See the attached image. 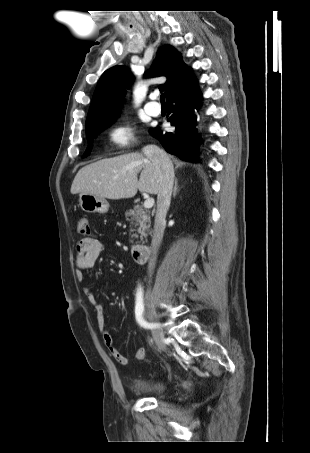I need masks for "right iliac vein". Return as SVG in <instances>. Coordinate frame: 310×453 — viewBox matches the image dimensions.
<instances>
[{
	"label": "right iliac vein",
	"mask_w": 310,
	"mask_h": 453,
	"mask_svg": "<svg viewBox=\"0 0 310 453\" xmlns=\"http://www.w3.org/2000/svg\"><path fill=\"white\" fill-rule=\"evenodd\" d=\"M146 315H147V318L152 323L158 322V317H157V313H156V310L154 307L151 290H148L146 293ZM152 336H153V339L156 342L158 348L163 349L165 344H164V335L162 333V330L159 328H155L152 331Z\"/></svg>",
	"instance_id": "1"
}]
</instances>
